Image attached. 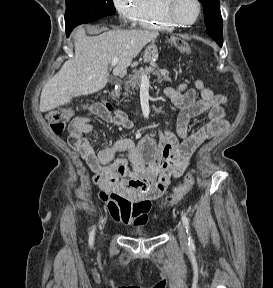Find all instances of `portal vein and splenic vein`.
I'll list each match as a JSON object with an SVG mask.
<instances>
[{
  "instance_id": "obj_1",
  "label": "portal vein and splenic vein",
  "mask_w": 273,
  "mask_h": 288,
  "mask_svg": "<svg viewBox=\"0 0 273 288\" xmlns=\"http://www.w3.org/2000/svg\"><path fill=\"white\" fill-rule=\"evenodd\" d=\"M119 62V58L118 57H114L111 61V66H116L117 63ZM142 83L144 84H148L149 83V79L146 75H143L142 76V79H141Z\"/></svg>"
}]
</instances>
